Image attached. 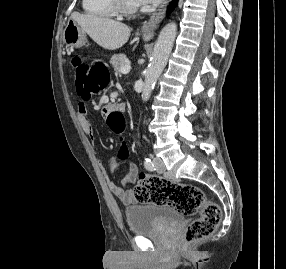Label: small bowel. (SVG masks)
Instances as JSON below:
<instances>
[{
  "label": "small bowel",
  "instance_id": "obj_1",
  "mask_svg": "<svg viewBox=\"0 0 286 269\" xmlns=\"http://www.w3.org/2000/svg\"><path fill=\"white\" fill-rule=\"evenodd\" d=\"M100 119L108 120L109 116L112 114L108 105H100ZM76 114L78 121L81 125L83 132L89 136L91 139L94 138V129L90 121L88 120V108L85 101H80L76 108ZM120 150H126L120 149ZM115 162L117 164H123L128 168V175L123 180V185L115 184L102 164L101 159H99V163L104 174V177L107 181L108 187L111 192L122 201L124 204H133L136 202L135 193L132 189L127 188L126 185L133 183L136 180V175L138 172L137 166L132 162V160L128 156L117 155Z\"/></svg>",
  "mask_w": 286,
  "mask_h": 269
}]
</instances>
